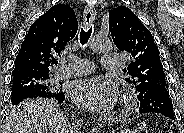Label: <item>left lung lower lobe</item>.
I'll return each instance as SVG.
<instances>
[{
  "label": "left lung lower lobe",
  "mask_w": 184,
  "mask_h": 133,
  "mask_svg": "<svg viewBox=\"0 0 184 133\" xmlns=\"http://www.w3.org/2000/svg\"><path fill=\"white\" fill-rule=\"evenodd\" d=\"M167 90V87L157 84L148 89L142 96L137 95L140 101L139 113H157L175 120L173 104ZM157 94H160V100L155 99Z\"/></svg>",
  "instance_id": "obj_1"
}]
</instances>
